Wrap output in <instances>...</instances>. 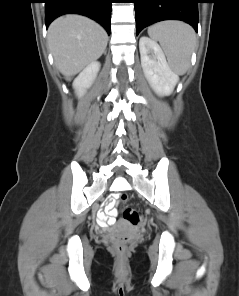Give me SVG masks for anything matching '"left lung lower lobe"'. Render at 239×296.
<instances>
[{
    "label": "left lung lower lobe",
    "instance_id": "left-lung-lower-lobe-1",
    "mask_svg": "<svg viewBox=\"0 0 239 296\" xmlns=\"http://www.w3.org/2000/svg\"><path fill=\"white\" fill-rule=\"evenodd\" d=\"M199 2V0H133L136 34L152 23L168 19L185 21L197 32Z\"/></svg>",
    "mask_w": 239,
    "mask_h": 296
}]
</instances>
